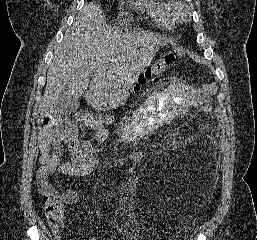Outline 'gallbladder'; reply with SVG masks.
<instances>
[{"label": "gallbladder", "instance_id": "obj_1", "mask_svg": "<svg viewBox=\"0 0 257 240\" xmlns=\"http://www.w3.org/2000/svg\"><path fill=\"white\" fill-rule=\"evenodd\" d=\"M79 104V100L72 97L68 92V89H64L54 111L58 116H67L75 112L78 109Z\"/></svg>", "mask_w": 257, "mask_h": 240}]
</instances>
